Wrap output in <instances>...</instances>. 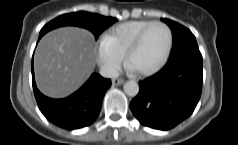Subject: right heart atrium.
<instances>
[{
	"label": "right heart atrium",
	"mask_w": 238,
	"mask_h": 145,
	"mask_svg": "<svg viewBox=\"0 0 238 145\" xmlns=\"http://www.w3.org/2000/svg\"><path fill=\"white\" fill-rule=\"evenodd\" d=\"M97 62L103 73L113 76L120 69L123 56L105 44L101 39L97 46Z\"/></svg>",
	"instance_id": "1"
}]
</instances>
